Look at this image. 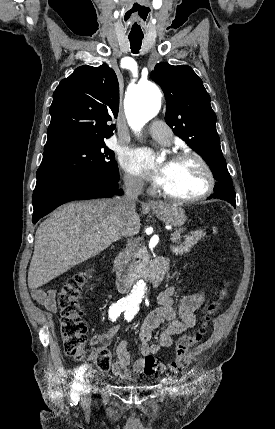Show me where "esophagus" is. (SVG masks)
<instances>
[{"label":"esophagus","mask_w":275,"mask_h":429,"mask_svg":"<svg viewBox=\"0 0 275 429\" xmlns=\"http://www.w3.org/2000/svg\"><path fill=\"white\" fill-rule=\"evenodd\" d=\"M149 205L155 207V206H158V202H156V201H150Z\"/></svg>","instance_id":"1"}]
</instances>
